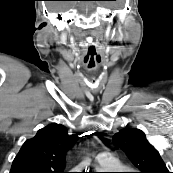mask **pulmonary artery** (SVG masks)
Wrapping results in <instances>:
<instances>
[{
    "label": "pulmonary artery",
    "mask_w": 173,
    "mask_h": 173,
    "mask_svg": "<svg viewBox=\"0 0 173 173\" xmlns=\"http://www.w3.org/2000/svg\"><path fill=\"white\" fill-rule=\"evenodd\" d=\"M109 155L107 154H98L96 159L98 160V162H102L104 160H106L108 158Z\"/></svg>",
    "instance_id": "obj_1"
}]
</instances>
